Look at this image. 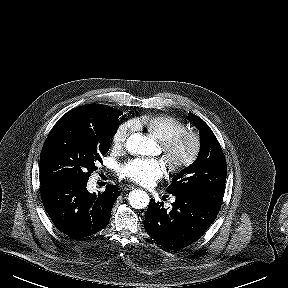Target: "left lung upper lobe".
Segmentation results:
<instances>
[{"instance_id": "obj_1", "label": "left lung upper lobe", "mask_w": 288, "mask_h": 288, "mask_svg": "<svg viewBox=\"0 0 288 288\" xmlns=\"http://www.w3.org/2000/svg\"><path fill=\"white\" fill-rule=\"evenodd\" d=\"M188 119L200 132L201 147L197 160L173 178L168 193L202 198L221 206L227 175L226 161L214 133L198 116Z\"/></svg>"}]
</instances>
